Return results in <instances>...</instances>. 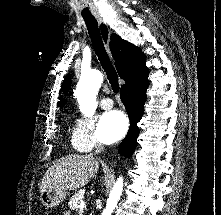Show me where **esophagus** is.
I'll return each instance as SVG.
<instances>
[{
	"label": "esophagus",
	"mask_w": 221,
	"mask_h": 215,
	"mask_svg": "<svg viewBox=\"0 0 221 215\" xmlns=\"http://www.w3.org/2000/svg\"><path fill=\"white\" fill-rule=\"evenodd\" d=\"M98 25H99L100 34H101L103 43L105 45L106 51L108 53V56L110 57L112 62H114V58L112 56L111 49H110V31H109V28L104 23V21L102 19H98Z\"/></svg>",
	"instance_id": "esophagus-1"
}]
</instances>
